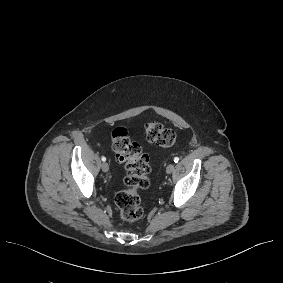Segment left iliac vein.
<instances>
[{
    "mask_svg": "<svg viewBox=\"0 0 283 283\" xmlns=\"http://www.w3.org/2000/svg\"><path fill=\"white\" fill-rule=\"evenodd\" d=\"M174 168H175L174 164H169L166 168L167 174H171L173 172Z\"/></svg>",
    "mask_w": 283,
    "mask_h": 283,
    "instance_id": "4c4485c4",
    "label": "left iliac vein"
}]
</instances>
